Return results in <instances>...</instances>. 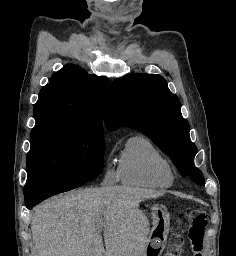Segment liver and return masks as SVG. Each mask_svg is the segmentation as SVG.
Returning <instances> with one entry per match:
<instances>
[{
  "label": "liver",
  "mask_w": 236,
  "mask_h": 256,
  "mask_svg": "<svg viewBox=\"0 0 236 256\" xmlns=\"http://www.w3.org/2000/svg\"><path fill=\"white\" fill-rule=\"evenodd\" d=\"M163 194L102 186L46 200L34 208L31 222L37 256H142L148 224L139 204Z\"/></svg>",
  "instance_id": "obj_1"
}]
</instances>
